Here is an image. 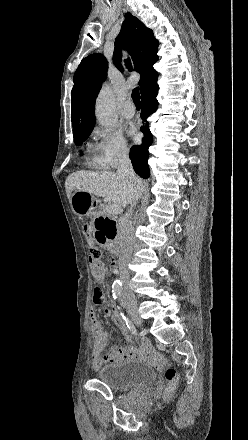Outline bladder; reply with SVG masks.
<instances>
[{"instance_id": "obj_1", "label": "bladder", "mask_w": 248, "mask_h": 440, "mask_svg": "<svg viewBox=\"0 0 248 440\" xmlns=\"http://www.w3.org/2000/svg\"><path fill=\"white\" fill-rule=\"evenodd\" d=\"M96 378L112 389H138L152 383L155 372L144 362L128 359L101 367Z\"/></svg>"}]
</instances>
